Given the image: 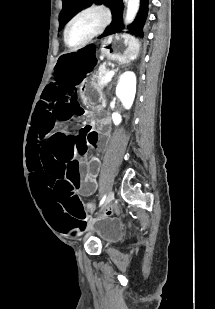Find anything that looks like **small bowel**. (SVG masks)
Instances as JSON below:
<instances>
[{
	"mask_svg": "<svg viewBox=\"0 0 215 309\" xmlns=\"http://www.w3.org/2000/svg\"><path fill=\"white\" fill-rule=\"evenodd\" d=\"M107 209H112V206H109Z\"/></svg>",
	"mask_w": 215,
	"mask_h": 309,
	"instance_id": "small-bowel-1",
	"label": "small bowel"
}]
</instances>
